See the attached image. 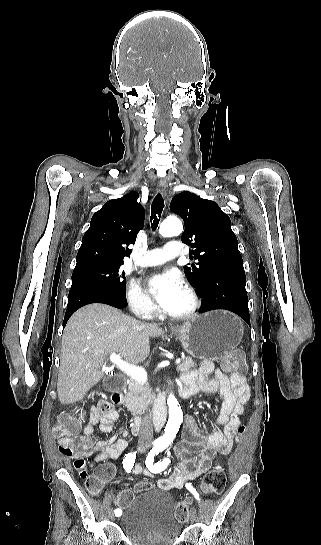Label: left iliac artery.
<instances>
[{
	"mask_svg": "<svg viewBox=\"0 0 321 545\" xmlns=\"http://www.w3.org/2000/svg\"><path fill=\"white\" fill-rule=\"evenodd\" d=\"M166 447L162 445H156L153 447L149 454L146 457V466L149 468V470L153 473H159L163 471L165 468H167L169 464V459H164L162 462L154 463V457L155 455L159 454V452H162ZM186 488L194 495V497L199 501V494L196 492V489L193 488L192 485L186 484Z\"/></svg>",
	"mask_w": 321,
	"mask_h": 545,
	"instance_id": "1",
	"label": "left iliac artery"
}]
</instances>
